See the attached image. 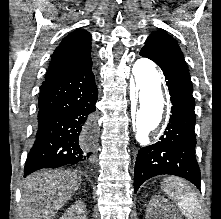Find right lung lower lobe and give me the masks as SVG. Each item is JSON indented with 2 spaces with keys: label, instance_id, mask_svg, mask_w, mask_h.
<instances>
[{
  "label": "right lung lower lobe",
  "instance_id": "1",
  "mask_svg": "<svg viewBox=\"0 0 221 219\" xmlns=\"http://www.w3.org/2000/svg\"><path fill=\"white\" fill-rule=\"evenodd\" d=\"M98 89L92 60L42 83L34 143L24 177L42 168H58L94 158L91 138Z\"/></svg>",
  "mask_w": 221,
  "mask_h": 219
}]
</instances>
